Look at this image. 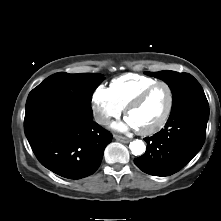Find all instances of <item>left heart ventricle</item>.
Listing matches in <instances>:
<instances>
[{"label":"left heart ventricle","instance_id":"obj_1","mask_svg":"<svg viewBox=\"0 0 221 221\" xmlns=\"http://www.w3.org/2000/svg\"><path fill=\"white\" fill-rule=\"evenodd\" d=\"M168 92L164 86L156 87L142 104L133 109L128 120L136 129H148L163 117L168 105Z\"/></svg>","mask_w":221,"mask_h":221}]
</instances>
